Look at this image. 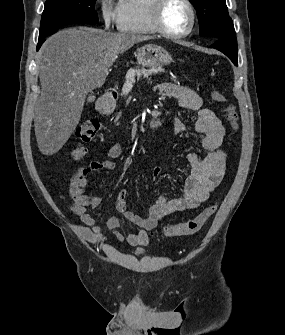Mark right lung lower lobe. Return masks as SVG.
Listing matches in <instances>:
<instances>
[{
  "label": "right lung lower lobe",
  "instance_id": "right-lung-lower-lobe-1",
  "mask_svg": "<svg viewBox=\"0 0 285 335\" xmlns=\"http://www.w3.org/2000/svg\"><path fill=\"white\" fill-rule=\"evenodd\" d=\"M65 26H66V25H64V26H62V27H60V28H63V27H65ZM60 28H59V29H60ZM57 30H58V29H57ZM55 31H56V30H55ZM53 32H54V31H53ZM53 32H52V33H53ZM50 34H51V33H50ZM50 34H49V35H50ZM49 35H48V36H49ZM48 36H46L45 38H40V37H39V43H38V45H37V51L39 50V48L41 47L42 43L45 41V39H46Z\"/></svg>",
  "mask_w": 285,
  "mask_h": 335
}]
</instances>
